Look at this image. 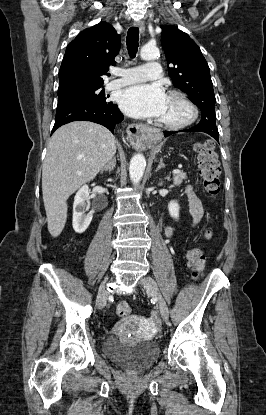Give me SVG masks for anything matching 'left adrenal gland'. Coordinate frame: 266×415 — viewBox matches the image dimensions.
Returning <instances> with one entry per match:
<instances>
[{"label":"left adrenal gland","mask_w":266,"mask_h":415,"mask_svg":"<svg viewBox=\"0 0 266 415\" xmlns=\"http://www.w3.org/2000/svg\"><path fill=\"white\" fill-rule=\"evenodd\" d=\"M164 167H165V164L163 163V159L161 158L160 162H159V164L156 168V172L159 171L161 168H164Z\"/></svg>","instance_id":"left-adrenal-gland-1"}]
</instances>
